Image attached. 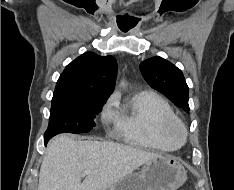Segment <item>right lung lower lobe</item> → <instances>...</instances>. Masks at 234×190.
Returning <instances> with one entry per match:
<instances>
[{"instance_id": "98d812e1", "label": "right lung lower lobe", "mask_w": 234, "mask_h": 190, "mask_svg": "<svg viewBox=\"0 0 234 190\" xmlns=\"http://www.w3.org/2000/svg\"><path fill=\"white\" fill-rule=\"evenodd\" d=\"M48 141H49V138L44 139L45 145L47 144Z\"/></svg>"}]
</instances>
